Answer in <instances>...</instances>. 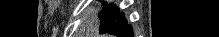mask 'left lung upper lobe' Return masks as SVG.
Listing matches in <instances>:
<instances>
[{
    "label": "left lung upper lobe",
    "mask_w": 219,
    "mask_h": 37,
    "mask_svg": "<svg viewBox=\"0 0 219 37\" xmlns=\"http://www.w3.org/2000/svg\"><path fill=\"white\" fill-rule=\"evenodd\" d=\"M119 10L113 5L104 6L103 10L99 13V18L101 22L100 33H106L107 30L113 25Z\"/></svg>",
    "instance_id": "1"
}]
</instances>
